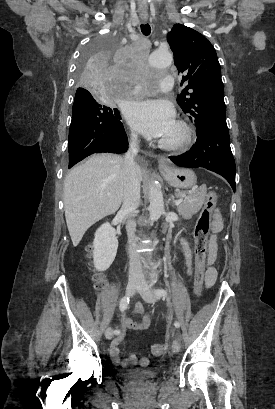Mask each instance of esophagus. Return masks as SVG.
Listing matches in <instances>:
<instances>
[{
  "instance_id": "esophagus-1",
  "label": "esophagus",
  "mask_w": 275,
  "mask_h": 409,
  "mask_svg": "<svg viewBox=\"0 0 275 409\" xmlns=\"http://www.w3.org/2000/svg\"><path fill=\"white\" fill-rule=\"evenodd\" d=\"M147 20H148L147 18H142L141 19L142 22H147Z\"/></svg>"
}]
</instances>
